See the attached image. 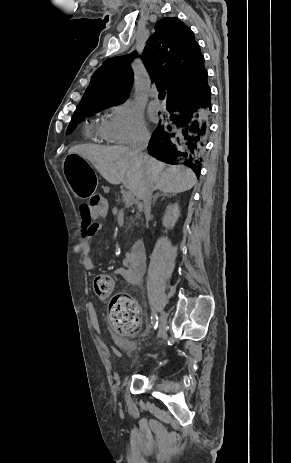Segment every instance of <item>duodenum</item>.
<instances>
[{
	"label": "duodenum",
	"instance_id": "410a0bca",
	"mask_svg": "<svg viewBox=\"0 0 291 463\" xmlns=\"http://www.w3.org/2000/svg\"><path fill=\"white\" fill-rule=\"evenodd\" d=\"M132 253L137 256H143L145 254V242L142 239L135 241L131 249Z\"/></svg>",
	"mask_w": 291,
	"mask_h": 463
}]
</instances>
